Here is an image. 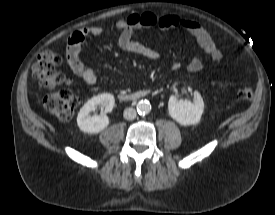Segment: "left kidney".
I'll use <instances>...</instances> for the list:
<instances>
[{
  "instance_id": "obj_1",
  "label": "left kidney",
  "mask_w": 275,
  "mask_h": 215,
  "mask_svg": "<svg viewBox=\"0 0 275 215\" xmlns=\"http://www.w3.org/2000/svg\"><path fill=\"white\" fill-rule=\"evenodd\" d=\"M169 115L181 125H195L200 121L204 111V102L199 92H194L193 102L170 96Z\"/></svg>"
}]
</instances>
